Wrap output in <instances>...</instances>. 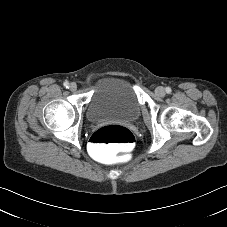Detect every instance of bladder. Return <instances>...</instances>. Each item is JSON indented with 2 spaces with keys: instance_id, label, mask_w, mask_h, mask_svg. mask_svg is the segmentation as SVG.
<instances>
[{
  "instance_id": "1",
  "label": "bladder",
  "mask_w": 227,
  "mask_h": 227,
  "mask_svg": "<svg viewBox=\"0 0 227 227\" xmlns=\"http://www.w3.org/2000/svg\"><path fill=\"white\" fill-rule=\"evenodd\" d=\"M140 110L129 78L124 75H107L94 90L85 115L91 123L133 122L139 117Z\"/></svg>"
}]
</instances>
